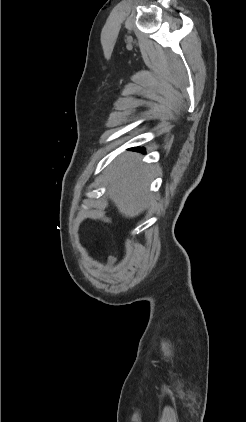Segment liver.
<instances>
[{
	"label": "liver",
	"instance_id": "1",
	"mask_svg": "<svg viewBox=\"0 0 246 422\" xmlns=\"http://www.w3.org/2000/svg\"><path fill=\"white\" fill-rule=\"evenodd\" d=\"M140 159L138 154L127 152L113 163L109 171L110 198L126 218L140 215L154 203L147 188L155 169L142 165Z\"/></svg>",
	"mask_w": 246,
	"mask_h": 422
}]
</instances>
